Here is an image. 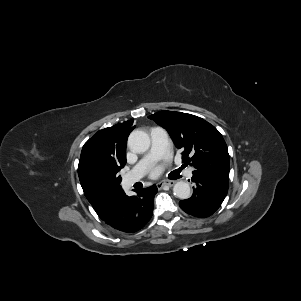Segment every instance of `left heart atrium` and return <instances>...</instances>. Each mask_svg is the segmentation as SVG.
<instances>
[{"instance_id": "left-heart-atrium-1", "label": "left heart atrium", "mask_w": 301, "mask_h": 301, "mask_svg": "<svg viewBox=\"0 0 301 301\" xmlns=\"http://www.w3.org/2000/svg\"><path fill=\"white\" fill-rule=\"evenodd\" d=\"M161 170H162L161 166L153 167L150 171L151 176H153V177L157 176L161 172Z\"/></svg>"}]
</instances>
